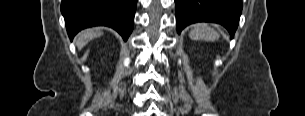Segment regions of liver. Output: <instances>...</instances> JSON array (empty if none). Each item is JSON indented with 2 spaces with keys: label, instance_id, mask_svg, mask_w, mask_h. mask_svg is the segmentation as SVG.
Returning a JSON list of instances; mask_svg holds the SVG:
<instances>
[{
  "label": "liver",
  "instance_id": "obj_1",
  "mask_svg": "<svg viewBox=\"0 0 305 116\" xmlns=\"http://www.w3.org/2000/svg\"><path fill=\"white\" fill-rule=\"evenodd\" d=\"M99 35H101L100 31L97 33L92 30L84 31L77 39L76 45L78 49H82L89 41Z\"/></svg>",
  "mask_w": 305,
  "mask_h": 116
}]
</instances>
